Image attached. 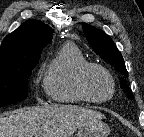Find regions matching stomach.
<instances>
[{
  "label": "stomach",
  "instance_id": "obj_1",
  "mask_svg": "<svg viewBox=\"0 0 144 137\" xmlns=\"http://www.w3.org/2000/svg\"><path fill=\"white\" fill-rule=\"evenodd\" d=\"M109 134V126L100 120L80 127L75 137H108Z\"/></svg>",
  "mask_w": 144,
  "mask_h": 137
}]
</instances>
